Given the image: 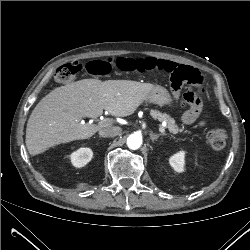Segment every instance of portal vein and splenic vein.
I'll return each mask as SVG.
<instances>
[{
	"instance_id": "portal-vein-and-splenic-vein-1",
	"label": "portal vein and splenic vein",
	"mask_w": 250,
	"mask_h": 250,
	"mask_svg": "<svg viewBox=\"0 0 250 250\" xmlns=\"http://www.w3.org/2000/svg\"><path fill=\"white\" fill-rule=\"evenodd\" d=\"M111 123H112L111 120H109V119H104V120H102L101 122H99V125H101V126H109ZM159 131H160L161 133H163V134L165 133V129H164L162 126L159 127Z\"/></svg>"
}]
</instances>
